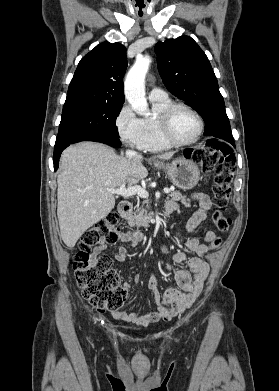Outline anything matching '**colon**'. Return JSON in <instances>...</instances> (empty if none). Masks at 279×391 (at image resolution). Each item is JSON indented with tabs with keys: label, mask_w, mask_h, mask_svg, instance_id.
Masks as SVG:
<instances>
[{
	"label": "colon",
	"mask_w": 279,
	"mask_h": 391,
	"mask_svg": "<svg viewBox=\"0 0 279 391\" xmlns=\"http://www.w3.org/2000/svg\"><path fill=\"white\" fill-rule=\"evenodd\" d=\"M190 156L206 174H214L213 222L219 232L227 233L231 220L223 215V211L231 195L234 153L228 145L212 139L192 150ZM118 221V214L110 212L86 230L79 240L78 250L73 258L74 273L83 297L101 310L119 309L126 297V291L121 285L118 273L112 268L110 257L92 253L94 247L112 244L118 240ZM220 244L221 239L215 237L209 243V248H218Z\"/></svg>",
	"instance_id": "colon-1"
}]
</instances>
